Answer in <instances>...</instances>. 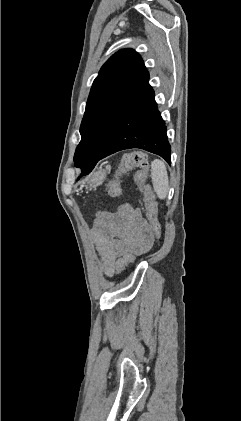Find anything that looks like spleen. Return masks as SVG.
Masks as SVG:
<instances>
[{"label": "spleen", "mask_w": 241, "mask_h": 421, "mask_svg": "<svg viewBox=\"0 0 241 421\" xmlns=\"http://www.w3.org/2000/svg\"><path fill=\"white\" fill-rule=\"evenodd\" d=\"M151 178L155 193L158 198H166L169 190V179L166 166L163 161L155 159L151 163Z\"/></svg>", "instance_id": "3e777b00"}]
</instances>
